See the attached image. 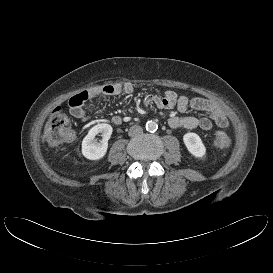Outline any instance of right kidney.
Segmentation results:
<instances>
[{
	"instance_id": "ca27d5eb",
	"label": "right kidney",
	"mask_w": 273,
	"mask_h": 273,
	"mask_svg": "<svg viewBox=\"0 0 273 273\" xmlns=\"http://www.w3.org/2000/svg\"><path fill=\"white\" fill-rule=\"evenodd\" d=\"M113 128L106 123H100L92 127L82 141V154L89 160L103 158L108 149V140L111 137ZM101 134L100 142L95 140L97 134Z\"/></svg>"
}]
</instances>
